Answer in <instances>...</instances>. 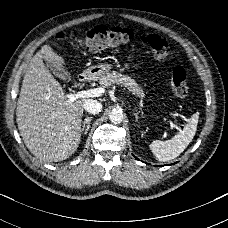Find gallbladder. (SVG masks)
Listing matches in <instances>:
<instances>
[{
    "instance_id": "bac80fb5",
    "label": "gallbladder",
    "mask_w": 228,
    "mask_h": 228,
    "mask_svg": "<svg viewBox=\"0 0 228 228\" xmlns=\"http://www.w3.org/2000/svg\"><path fill=\"white\" fill-rule=\"evenodd\" d=\"M48 66L56 77L61 78L65 81L71 80L70 73L65 68H62L60 65H54L51 62H48Z\"/></svg>"
}]
</instances>
